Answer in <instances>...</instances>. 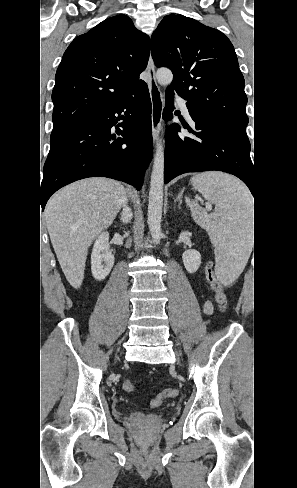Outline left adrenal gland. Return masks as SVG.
<instances>
[{
  "label": "left adrenal gland",
  "instance_id": "1",
  "mask_svg": "<svg viewBox=\"0 0 297 488\" xmlns=\"http://www.w3.org/2000/svg\"><path fill=\"white\" fill-rule=\"evenodd\" d=\"M183 192H184V189H182L178 196L176 197L175 199V202H179L178 206L180 207V205L182 204V198H183Z\"/></svg>",
  "mask_w": 297,
  "mask_h": 488
}]
</instances>
